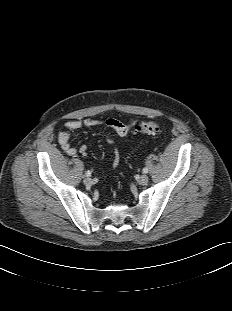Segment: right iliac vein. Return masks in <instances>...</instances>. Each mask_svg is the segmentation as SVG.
Listing matches in <instances>:
<instances>
[{"mask_svg":"<svg viewBox=\"0 0 232 311\" xmlns=\"http://www.w3.org/2000/svg\"><path fill=\"white\" fill-rule=\"evenodd\" d=\"M92 183H93V180L90 177H87V178L84 179V184L86 186H91Z\"/></svg>","mask_w":232,"mask_h":311,"instance_id":"1","label":"right iliac vein"}]
</instances>
